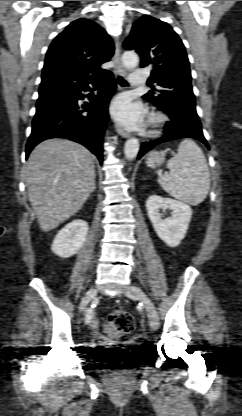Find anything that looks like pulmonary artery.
<instances>
[{
  "label": "pulmonary artery",
  "mask_w": 242,
  "mask_h": 416,
  "mask_svg": "<svg viewBox=\"0 0 242 416\" xmlns=\"http://www.w3.org/2000/svg\"><path fill=\"white\" fill-rule=\"evenodd\" d=\"M145 70L144 69H135L133 70V72L131 73L130 76V84L131 85H140L142 84L145 80Z\"/></svg>",
  "instance_id": "1"
}]
</instances>
